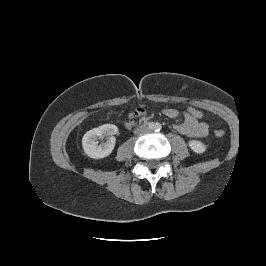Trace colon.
<instances>
[{
	"mask_svg": "<svg viewBox=\"0 0 266 266\" xmlns=\"http://www.w3.org/2000/svg\"><path fill=\"white\" fill-rule=\"evenodd\" d=\"M186 112L192 116L194 119L201 120L204 117V113L197 107L191 106L188 107ZM225 134L224 130H216L215 135L217 137H223Z\"/></svg>",
	"mask_w": 266,
	"mask_h": 266,
	"instance_id": "colon-1",
	"label": "colon"
}]
</instances>
